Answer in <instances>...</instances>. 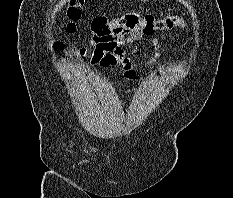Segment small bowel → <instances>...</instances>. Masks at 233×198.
<instances>
[{
	"label": "small bowel",
	"mask_w": 233,
	"mask_h": 198,
	"mask_svg": "<svg viewBox=\"0 0 233 198\" xmlns=\"http://www.w3.org/2000/svg\"><path fill=\"white\" fill-rule=\"evenodd\" d=\"M143 36L139 30H117L110 37L93 43L94 50L91 55V62L104 68H119L127 82L133 81L138 73L134 69L132 61L126 56L124 47L132 45ZM152 43L155 54L149 60V66L155 64L160 58L158 40L152 37Z\"/></svg>",
	"instance_id": "small-bowel-1"
}]
</instances>
